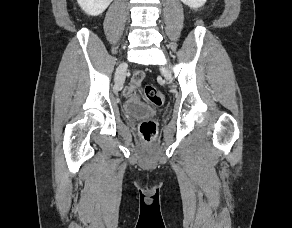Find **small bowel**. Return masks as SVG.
Masks as SVG:
<instances>
[{"mask_svg":"<svg viewBox=\"0 0 292 228\" xmlns=\"http://www.w3.org/2000/svg\"><path fill=\"white\" fill-rule=\"evenodd\" d=\"M144 78L145 73L142 70H136L132 75L129 84L123 88V95L127 97L132 96L137 88L140 86Z\"/></svg>","mask_w":292,"mask_h":228,"instance_id":"1","label":"small bowel"}]
</instances>
